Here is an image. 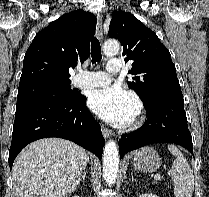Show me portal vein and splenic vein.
Returning <instances> with one entry per match:
<instances>
[{
	"instance_id": "portal-vein-and-splenic-vein-1",
	"label": "portal vein and splenic vein",
	"mask_w": 209,
	"mask_h": 197,
	"mask_svg": "<svg viewBox=\"0 0 209 197\" xmlns=\"http://www.w3.org/2000/svg\"><path fill=\"white\" fill-rule=\"evenodd\" d=\"M155 180H160L161 179V176L159 174L155 175L154 176Z\"/></svg>"
}]
</instances>
